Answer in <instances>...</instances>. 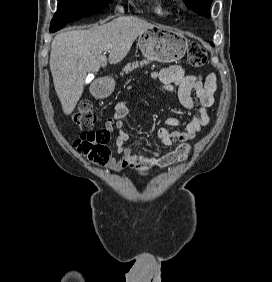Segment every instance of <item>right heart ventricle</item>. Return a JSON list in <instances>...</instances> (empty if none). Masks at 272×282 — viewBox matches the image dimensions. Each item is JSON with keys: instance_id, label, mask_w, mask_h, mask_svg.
Listing matches in <instances>:
<instances>
[{"instance_id": "obj_1", "label": "right heart ventricle", "mask_w": 272, "mask_h": 282, "mask_svg": "<svg viewBox=\"0 0 272 282\" xmlns=\"http://www.w3.org/2000/svg\"><path fill=\"white\" fill-rule=\"evenodd\" d=\"M158 10H159V12L164 11L162 7H159Z\"/></svg>"}]
</instances>
